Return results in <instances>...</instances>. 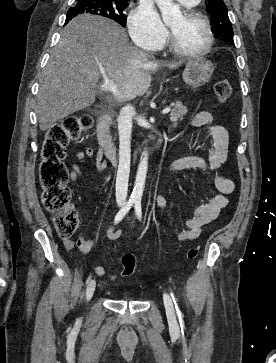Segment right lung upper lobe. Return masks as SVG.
Here are the masks:
<instances>
[{"mask_svg":"<svg viewBox=\"0 0 276 363\" xmlns=\"http://www.w3.org/2000/svg\"><path fill=\"white\" fill-rule=\"evenodd\" d=\"M111 1L128 2L130 0H111Z\"/></svg>","mask_w":276,"mask_h":363,"instance_id":"1","label":"right lung upper lobe"}]
</instances>
